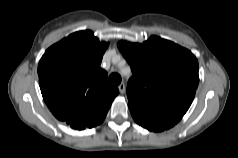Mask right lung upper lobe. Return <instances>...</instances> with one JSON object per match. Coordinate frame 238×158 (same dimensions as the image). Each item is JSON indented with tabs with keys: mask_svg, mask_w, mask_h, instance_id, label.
Wrapping results in <instances>:
<instances>
[{
	"mask_svg": "<svg viewBox=\"0 0 238 158\" xmlns=\"http://www.w3.org/2000/svg\"><path fill=\"white\" fill-rule=\"evenodd\" d=\"M108 43L79 31L51 46L38 65L41 93L53 115L66 123L106 115L119 91L100 67Z\"/></svg>",
	"mask_w": 238,
	"mask_h": 158,
	"instance_id": "obj_1",
	"label": "right lung upper lobe"
}]
</instances>
